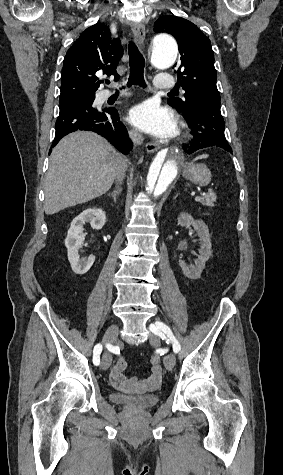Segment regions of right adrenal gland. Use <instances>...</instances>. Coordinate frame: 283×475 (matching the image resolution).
Returning <instances> with one entry per match:
<instances>
[{
    "label": "right adrenal gland",
    "instance_id": "2a0ac1e0",
    "mask_svg": "<svg viewBox=\"0 0 283 475\" xmlns=\"http://www.w3.org/2000/svg\"><path fill=\"white\" fill-rule=\"evenodd\" d=\"M122 190L121 188H118V186H116L115 190H113L112 194H107V196H111V198H113L115 204H116V196H119V194H121Z\"/></svg>",
    "mask_w": 283,
    "mask_h": 475
}]
</instances>
